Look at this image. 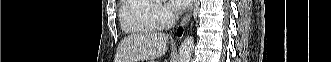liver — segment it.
Segmentation results:
<instances>
[{
	"label": "liver",
	"instance_id": "6515ba94",
	"mask_svg": "<svg viewBox=\"0 0 331 62\" xmlns=\"http://www.w3.org/2000/svg\"><path fill=\"white\" fill-rule=\"evenodd\" d=\"M168 35L143 31L125 37L119 44L115 62H140L159 58L167 51Z\"/></svg>",
	"mask_w": 331,
	"mask_h": 62
}]
</instances>
